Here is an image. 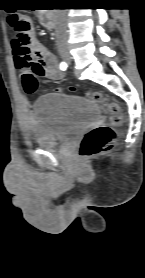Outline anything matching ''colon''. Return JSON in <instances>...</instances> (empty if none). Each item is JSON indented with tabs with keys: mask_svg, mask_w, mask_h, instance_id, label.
Wrapping results in <instances>:
<instances>
[{
	"mask_svg": "<svg viewBox=\"0 0 145 278\" xmlns=\"http://www.w3.org/2000/svg\"><path fill=\"white\" fill-rule=\"evenodd\" d=\"M7 21L11 29L15 32L21 45L25 48H29L32 43V32L27 20L20 17L18 14H10ZM74 90V88H69V91ZM37 91V78L33 76L30 79L29 85L26 87V92L28 94H35ZM91 98L96 102L102 103L108 110L110 113V124L95 127L86 132L79 148V155L83 161H87L111 149L116 140L115 127L124 122L123 110L118 104L101 93H93Z\"/></svg>",
	"mask_w": 145,
	"mask_h": 278,
	"instance_id": "colon-1",
	"label": "colon"
}]
</instances>
